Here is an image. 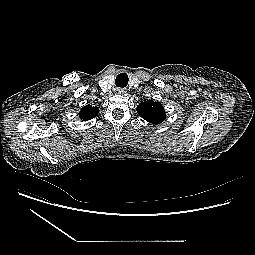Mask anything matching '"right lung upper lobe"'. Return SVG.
Masks as SVG:
<instances>
[{
    "label": "right lung upper lobe",
    "mask_w": 255,
    "mask_h": 255,
    "mask_svg": "<svg viewBox=\"0 0 255 255\" xmlns=\"http://www.w3.org/2000/svg\"><path fill=\"white\" fill-rule=\"evenodd\" d=\"M98 112H99L98 107L86 105L81 109L79 116L82 120H89L94 118L98 114Z\"/></svg>",
    "instance_id": "cb5924a9"
}]
</instances>
